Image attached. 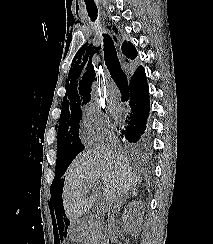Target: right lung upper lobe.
<instances>
[{"label": "right lung upper lobe", "mask_w": 213, "mask_h": 244, "mask_svg": "<svg viewBox=\"0 0 213 244\" xmlns=\"http://www.w3.org/2000/svg\"><path fill=\"white\" fill-rule=\"evenodd\" d=\"M121 49L127 58H136L137 51L131 43H127V41L123 42ZM141 68L142 67H139L136 70L132 78L139 73ZM68 79L70 80V85L69 90H67V94L63 100L62 112L72 107L81 106L90 101V86L94 79L91 59L88 60L87 57H85L82 61L79 59L75 63L74 67L70 69Z\"/></svg>", "instance_id": "cb5924a9"}]
</instances>
